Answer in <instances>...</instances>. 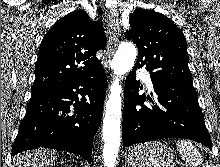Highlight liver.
Instances as JSON below:
<instances>
[{
	"mask_svg": "<svg viewBox=\"0 0 220 167\" xmlns=\"http://www.w3.org/2000/svg\"><path fill=\"white\" fill-rule=\"evenodd\" d=\"M56 160V152L38 148L15 156L12 167H49Z\"/></svg>",
	"mask_w": 220,
	"mask_h": 167,
	"instance_id": "1",
	"label": "liver"
}]
</instances>
